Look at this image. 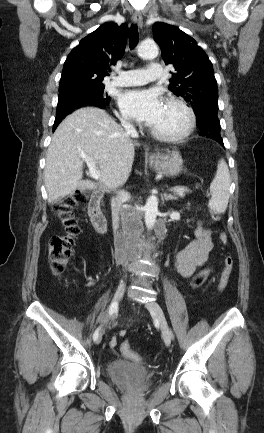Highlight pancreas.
<instances>
[{
	"label": "pancreas",
	"instance_id": "cf45deb5",
	"mask_svg": "<svg viewBox=\"0 0 264 433\" xmlns=\"http://www.w3.org/2000/svg\"><path fill=\"white\" fill-rule=\"evenodd\" d=\"M177 195H178L179 197H181V198H184L185 193H183L182 195H180V194L177 193Z\"/></svg>",
	"mask_w": 264,
	"mask_h": 433
}]
</instances>
